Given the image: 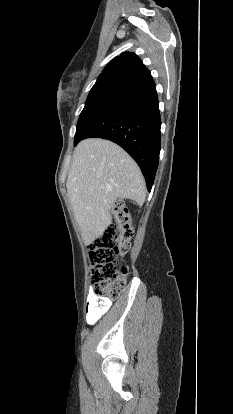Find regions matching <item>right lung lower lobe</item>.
<instances>
[{
  "mask_svg": "<svg viewBox=\"0 0 233 414\" xmlns=\"http://www.w3.org/2000/svg\"><path fill=\"white\" fill-rule=\"evenodd\" d=\"M160 126L156 86L148 74L93 107L77 128L74 146L90 137L117 143L137 162L150 190L158 167Z\"/></svg>",
  "mask_w": 233,
  "mask_h": 414,
  "instance_id": "1",
  "label": "right lung lower lobe"
}]
</instances>
